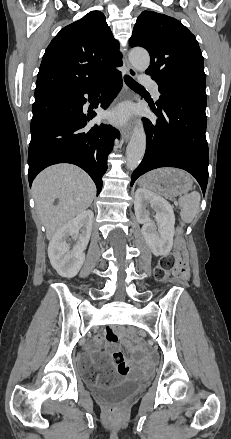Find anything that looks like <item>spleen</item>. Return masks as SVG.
Wrapping results in <instances>:
<instances>
[{
	"label": "spleen",
	"mask_w": 231,
	"mask_h": 439,
	"mask_svg": "<svg viewBox=\"0 0 231 439\" xmlns=\"http://www.w3.org/2000/svg\"><path fill=\"white\" fill-rule=\"evenodd\" d=\"M179 205L181 207V219L186 223L192 222L199 212L200 194L197 191H193L181 196L179 198Z\"/></svg>",
	"instance_id": "obj_1"
}]
</instances>
